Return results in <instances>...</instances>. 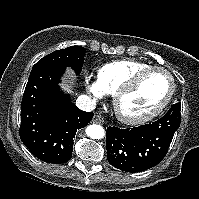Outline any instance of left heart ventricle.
<instances>
[{
	"mask_svg": "<svg viewBox=\"0 0 199 199\" xmlns=\"http://www.w3.org/2000/svg\"><path fill=\"white\" fill-rule=\"evenodd\" d=\"M170 80L162 72L145 75L137 87L120 101V109L129 116H140L154 110L167 96Z\"/></svg>",
	"mask_w": 199,
	"mask_h": 199,
	"instance_id": "1",
	"label": "left heart ventricle"
}]
</instances>
